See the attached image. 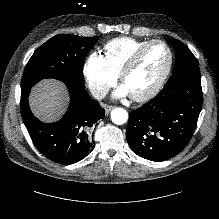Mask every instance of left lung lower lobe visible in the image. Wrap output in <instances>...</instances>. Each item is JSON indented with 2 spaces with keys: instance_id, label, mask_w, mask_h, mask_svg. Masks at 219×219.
Listing matches in <instances>:
<instances>
[{
  "instance_id": "left-lung-lower-lobe-1",
  "label": "left lung lower lobe",
  "mask_w": 219,
  "mask_h": 219,
  "mask_svg": "<svg viewBox=\"0 0 219 219\" xmlns=\"http://www.w3.org/2000/svg\"><path fill=\"white\" fill-rule=\"evenodd\" d=\"M201 106L200 76H185L172 82L129 114V146L135 154L151 161L176 156L189 143Z\"/></svg>"
}]
</instances>
